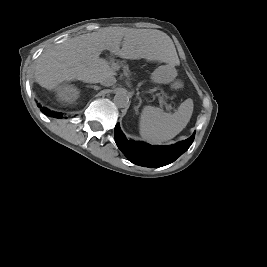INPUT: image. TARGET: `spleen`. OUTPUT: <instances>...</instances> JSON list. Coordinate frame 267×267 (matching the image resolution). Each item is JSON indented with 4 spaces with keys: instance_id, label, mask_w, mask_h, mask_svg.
Here are the masks:
<instances>
[{
    "instance_id": "obj_1",
    "label": "spleen",
    "mask_w": 267,
    "mask_h": 267,
    "mask_svg": "<svg viewBox=\"0 0 267 267\" xmlns=\"http://www.w3.org/2000/svg\"><path fill=\"white\" fill-rule=\"evenodd\" d=\"M191 111L182 103L174 113L144 106L139 117V134L151 144H163L179 134L189 122Z\"/></svg>"
}]
</instances>
